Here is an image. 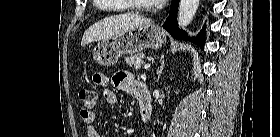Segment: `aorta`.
Returning <instances> with one entry per match:
<instances>
[{"label":"aorta","instance_id":"aorta-1","mask_svg":"<svg viewBox=\"0 0 280 137\" xmlns=\"http://www.w3.org/2000/svg\"><path fill=\"white\" fill-rule=\"evenodd\" d=\"M199 5V0H181L178 11V24L185 29L192 21Z\"/></svg>","mask_w":280,"mask_h":137}]
</instances>
